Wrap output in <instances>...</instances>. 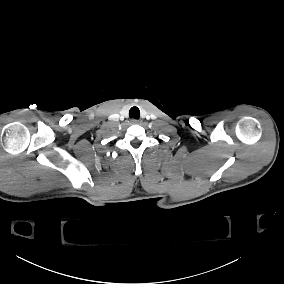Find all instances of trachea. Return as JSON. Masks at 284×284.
I'll return each mask as SVG.
<instances>
[{
  "label": "trachea",
  "instance_id": "trachea-1",
  "mask_svg": "<svg viewBox=\"0 0 284 284\" xmlns=\"http://www.w3.org/2000/svg\"><path fill=\"white\" fill-rule=\"evenodd\" d=\"M130 118L139 119L140 111L138 107H132L129 111Z\"/></svg>",
  "mask_w": 284,
  "mask_h": 284
}]
</instances>
